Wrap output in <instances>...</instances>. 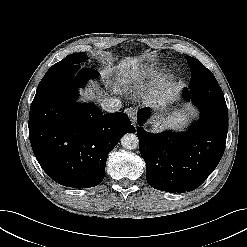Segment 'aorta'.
<instances>
[{"label": "aorta", "instance_id": "aorta-1", "mask_svg": "<svg viewBox=\"0 0 247 247\" xmlns=\"http://www.w3.org/2000/svg\"><path fill=\"white\" fill-rule=\"evenodd\" d=\"M121 145L128 150L136 149L139 145V139L134 133H127L121 138Z\"/></svg>", "mask_w": 247, "mask_h": 247}]
</instances>
